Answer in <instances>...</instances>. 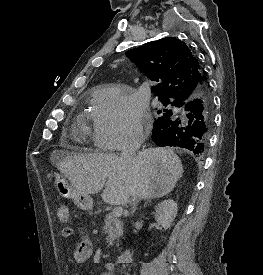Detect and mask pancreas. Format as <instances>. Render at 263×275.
<instances>
[{"label": "pancreas", "mask_w": 263, "mask_h": 275, "mask_svg": "<svg viewBox=\"0 0 263 275\" xmlns=\"http://www.w3.org/2000/svg\"><path fill=\"white\" fill-rule=\"evenodd\" d=\"M122 225V222L113 214L105 216L103 229L107 235L106 242L108 246H111L115 240H119L123 234Z\"/></svg>", "instance_id": "pancreas-1"}]
</instances>
